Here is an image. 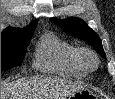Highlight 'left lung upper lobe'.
<instances>
[{"instance_id":"obj_1","label":"left lung upper lobe","mask_w":115,"mask_h":99,"mask_svg":"<svg viewBox=\"0 0 115 99\" xmlns=\"http://www.w3.org/2000/svg\"><path fill=\"white\" fill-rule=\"evenodd\" d=\"M51 20L58 24L65 32L89 42L94 49L105 58V53L102 47V42L98 35L81 19L71 17L65 20L51 18Z\"/></svg>"}]
</instances>
